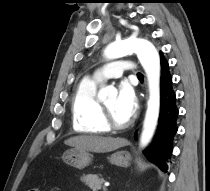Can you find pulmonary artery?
Instances as JSON below:
<instances>
[{
    "label": "pulmonary artery",
    "instance_id": "1",
    "mask_svg": "<svg viewBox=\"0 0 210 191\" xmlns=\"http://www.w3.org/2000/svg\"><path fill=\"white\" fill-rule=\"evenodd\" d=\"M125 71H129L133 75L137 74L135 65L132 62L119 59L105 65L102 71L97 72L94 77L98 82H102L107 79L119 78Z\"/></svg>",
    "mask_w": 210,
    "mask_h": 191
}]
</instances>
